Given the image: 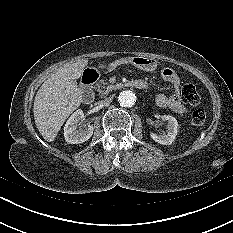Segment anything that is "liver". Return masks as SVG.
Instances as JSON below:
<instances>
[{
	"instance_id": "obj_1",
	"label": "liver",
	"mask_w": 233,
	"mask_h": 233,
	"mask_svg": "<svg viewBox=\"0 0 233 233\" xmlns=\"http://www.w3.org/2000/svg\"><path fill=\"white\" fill-rule=\"evenodd\" d=\"M88 60L66 64L39 88L34 99L35 124L43 138L52 142L69 115L82 100L76 79L80 78Z\"/></svg>"
}]
</instances>
